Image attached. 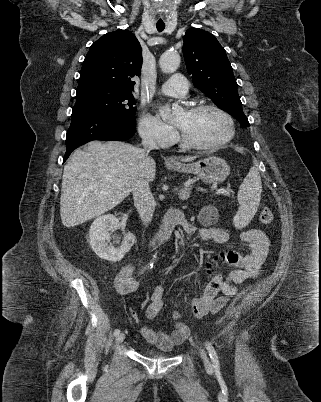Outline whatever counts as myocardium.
Here are the masks:
<instances>
[{
  "label": "myocardium",
  "instance_id": "f54148a6",
  "mask_svg": "<svg viewBox=\"0 0 321 402\" xmlns=\"http://www.w3.org/2000/svg\"><path fill=\"white\" fill-rule=\"evenodd\" d=\"M215 110L219 114H221L225 120L228 123V133L225 137L220 139L217 142L211 143V144H200L194 141H191L186 134L180 130V141L184 147L191 148V149H196V150H215L218 148H221L228 144L235 136L236 128H235V123L233 120V117L222 107L213 104V103H202V104H197L189 108V112H199L202 110Z\"/></svg>",
  "mask_w": 321,
  "mask_h": 402
}]
</instances>
